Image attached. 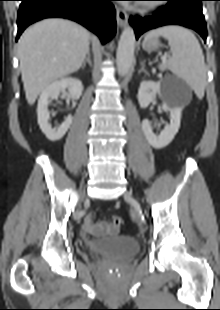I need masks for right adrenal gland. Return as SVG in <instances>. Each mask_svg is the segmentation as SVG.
<instances>
[{
  "mask_svg": "<svg viewBox=\"0 0 220 310\" xmlns=\"http://www.w3.org/2000/svg\"><path fill=\"white\" fill-rule=\"evenodd\" d=\"M87 63H88L90 66H92L90 50H89L88 53H87V57H86L85 60L83 61L82 69L85 68V66H86Z\"/></svg>",
  "mask_w": 220,
  "mask_h": 310,
  "instance_id": "1",
  "label": "right adrenal gland"
}]
</instances>
